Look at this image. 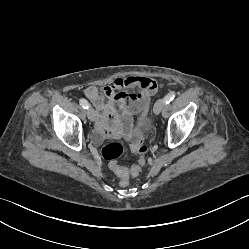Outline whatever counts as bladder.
Instances as JSON below:
<instances>
[{
    "label": "bladder",
    "mask_w": 249,
    "mask_h": 249,
    "mask_svg": "<svg viewBox=\"0 0 249 249\" xmlns=\"http://www.w3.org/2000/svg\"><path fill=\"white\" fill-rule=\"evenodd\" d=\"M146 131V128L144 125H141L140 126V132L144 133Z\"/></svg>",
    "instance_id": "bladder-1"
}]
</instances>
